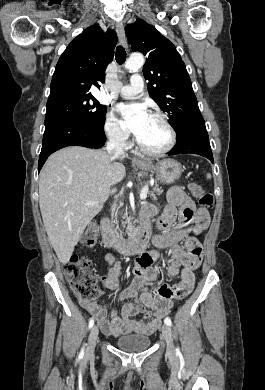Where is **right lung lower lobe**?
<instances>
[{"label":"right lung lower lobe","instance_id":"98d812e1","mask_svg":"<svg viewBox=\"0 0 265 390\" xmlns=\"http://www.w3.org/2000/svg\"><path fill=\"white\" fill-rule=\"evenodd\" d=\"M103 126H93L68 116L45 117V132L38 171L48 156L61 148L72 145L95 149L102 147L106 141Z\"/></svg>","mask_w":265,"mask_h":390}]
</instances>
